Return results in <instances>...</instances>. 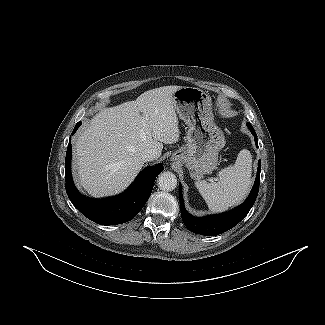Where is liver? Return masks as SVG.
Wrapping results in <instances>:
<instances>
[{
    "mask_svg": "<svg viewBox=\"0 0 325 325\" xmlns=\"http://www.w3.org/2000/svg\"><path fill=\"white\" fill-rule=\"evenodd\" d=\"M181 86H163L135 101L104 108L79 133L74 169L91 196L123 190L141 170V153L152 149L160 157L163 143L178 142L180 130L173 94Z\"/></svg>",
    "mask_w": 325,
    "mask_h": 325,
    "instance_id": "6515ba94",
    "label": "liver"
}]
</instances>
